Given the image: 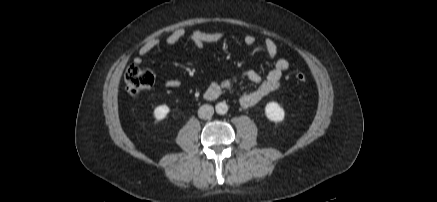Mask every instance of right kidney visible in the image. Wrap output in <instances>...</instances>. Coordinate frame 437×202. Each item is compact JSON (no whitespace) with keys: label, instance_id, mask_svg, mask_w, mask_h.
I'll list each match as a JSON object with an SVG mask.
<instances>
[{"label":"right kidney","instance_id":"ca27d5eb","mask_svg":"<svg viewBox=\"0 0 437 202\" xmlns=\"http://www.w3.org/2000/svg\"><path fill=\"white\" fill-rule=\"evenodd\" d=\"M170 112V108L167 105H160L154 109V117L157 121L163 120Z\"/></svg>","mask_w":437,"mask_h":202}]
</instances>
